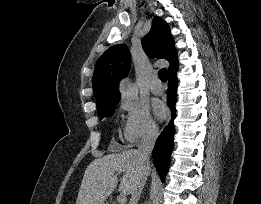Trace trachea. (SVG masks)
Here are the masks:
<instances>
[{"mask_svg":"<svg viewBox=\"0 0 261 204\" xmlns=\"http://www.w3.org/2000/svg\"><path fill=\"white\" fill-rule=\"evenodd\" d=\"M158 77L162 82L167 81V73H166V68H162L158 72Z\"/></svg>","mask_w":261,"mask_h":204,"instance_id":"obj_1","label":"trachea"}]
</instances>
